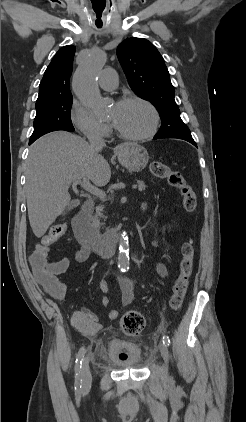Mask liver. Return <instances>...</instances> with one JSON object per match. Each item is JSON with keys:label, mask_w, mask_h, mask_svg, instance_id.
<instances>
[{"label": "liver", "mask_w": 246, "mask_h": 422, "mask_svg": "<svg viewBox=\"0 0 246 422\" xmlns=\"http://www.w3.org/2000/svg\"><path fill=\"white\" fill-rule=\"evenodd\" d=\"M100 151L65 131L49 133L31 145L25 189L29 222L36 237H42L70 205L72 182L88 178L97 186H105L110 181L111 169Z\"/></svg>", "instance_id": "obj_1"}]
</instances>
